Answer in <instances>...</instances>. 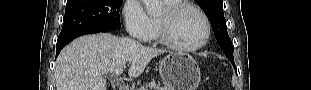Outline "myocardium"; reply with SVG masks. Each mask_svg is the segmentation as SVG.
<instances>
[{
	"label": "myocardium",
	"instance_id": "f54148a6",
	"mask_svg": "<svg viewBox=\"0 0 311 90\" xmlns=\"http://www.w3.org/2000/svg\"><path fill=\"white\" fill-rule=\"evenodd\" d=\"M185 9H191L198 13L205 25V35L203 39L199 43L191 46H183L176 43L171 35L172 22ZM157 26L160 42L166 47L182 53L194 52L201 49L208 43L211 36V23L207 15L196 5L188 2H180L174 6L167 7L162 15L157 18Z\"/></svg>",
	"mask_w": 311,
	"mask_h": 90
}]
</instances>
